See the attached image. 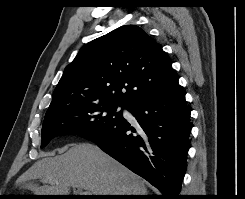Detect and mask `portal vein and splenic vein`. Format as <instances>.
<instances>
[{"instance_id":"1","label":"portal vein and splenic vein","mask_w":245,"mask_h":199,"mask_svg":"<svg viewBox=\"0 0 245 199\" xmlns=\"http://www.w3.org/2000/svg\"><path fill=\"white\" fill-rule=\"evenodd\" d=\"M81 195H92L89 191H82L80 190Z\"/></svg>"}]
</instances>
